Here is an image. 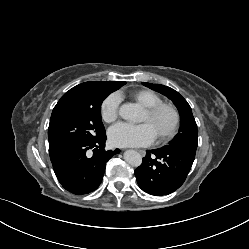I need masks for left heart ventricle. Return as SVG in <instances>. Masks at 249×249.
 I'll use <instances>...</instances> for the list:
<instances>
[{"label":"left heart ventricle","mask_w":249,"mask_h":249,"mask_svg":"<svg viewBox=\"0 0 249 249\" xmlns=\"http://www.w3.org/2000/svg\"><path fill=\"white\" fill-rule=\"evenodd\" d=\"M142 121L150 123L157 136L169 127L171 123V114L168 111H162L154 118H150L148 114L144 112Z\"/></svg>","instance_id":"1"}]
</instances>
